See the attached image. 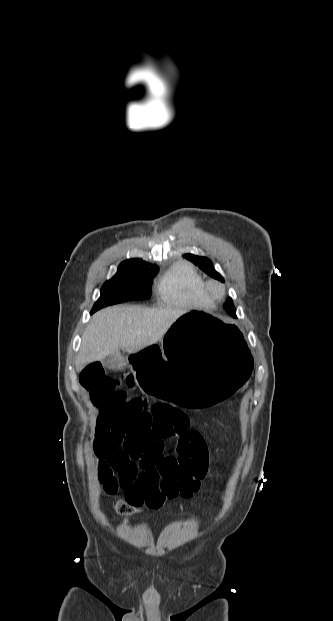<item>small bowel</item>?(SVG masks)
Segmentation results:
<instances>
[{
	"instance_id": "1",
	"label": "small bowel",
	"mask_w": 333,
	"mask_h": 621,
	"mask_svg": "<svg viewBox=\"0 0 333 621\" xmlns=\"http://www.w3.org/2000/svg\"><path fill=\"white\" fill-rule=\"evenodd\" d=\"M123 362L120 353H113L89 362L79 375L82 390L98 409L94 453L99 468L120 471L127 462H138L141 472L122 500L135 510L159 508L177 496H193L208 469L204 440L189 428L186 414L178 407L162 402L149 405L145 398L132 394L131 375L124 378L127 389H119L121 381L108 372L122 368ZM170 437L178 439V454L164 457V440Z\"/></svg>"
}]
</instances>
